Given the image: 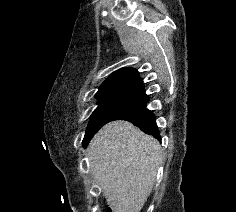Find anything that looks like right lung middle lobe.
Returning <instances> with one entry per match:
<instances>
[{
	"instance_id": "right-lung-middle-lobe-1",
	"label": "right lung middle lobe",
	"mask_w": 236,
	"mask_h": 212,
	"mask_svg": "<svg viewBox=\"0 0 236 212\" xmlns=\"http://www.w3.org/2000/svg\"><path fill=\"white\" fill-rule=\"evenodd\" d=\"M129 92H117L107 95L97 96L98 107L90 117V123L87 127L83 139V145L86 146L95 133L113 116L118 107L126 100Z\"/></svg>"
}]
</instances>
